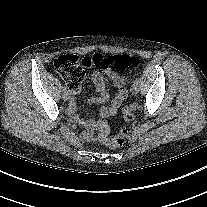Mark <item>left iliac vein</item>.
Here are the masks:
<instances>
[{"instance_id": "1", "label": "left iliac vein", "mask_w": 207, "mask_h": 207, "mask_svg": "<svg viewBox=\"0 0 207 207\" xmlns=\"http://www.w3.org/2000/svg\"><path fill=\"white\" fill-rule=\"evenodd\" d=\"M131 93L132 94H137L138 91H139V88H138V84L134 83L132 86H131Z\"/></svg>"}]
</instances>
